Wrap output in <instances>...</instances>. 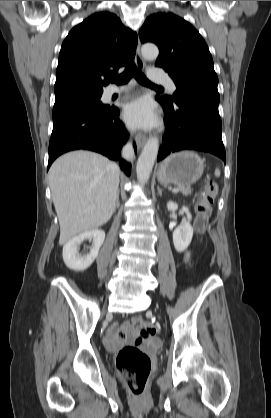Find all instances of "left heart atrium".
I'll return each mask as SVG.
<instances>
[{
  "label": "left heart atrium",
  "instance_id": "1",
  "mask_svg": "<svg viewBox=\"0 0 271 418\" xmlns=\"http://www.w3.org/2000/svg\"><path fill=\"white\" fill-rule=\"evenodd\" d=\"M123 117L131 128L148 129L157 124L152 105L147 99H138L127 104Z\"/></svg>",
  "mask_w": 271,
  "mask_h": 418
}]
</instances>
